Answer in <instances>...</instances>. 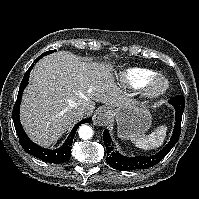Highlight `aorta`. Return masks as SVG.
<instances>
[{
    "instance_id": "obj_1",
    "label": "aorta",
    "mask_w": 199,
    "mask_h": 199,
    "mask_svg": "<svg viewBox=\"0 0 199 199\" xmlns=\"http://www.w3.org/2000/svg\"><path fill=\"white\" fill-rule=\"evenodd\" d=\"M79 137L83 140L90 139L93 135V130L90 126L88 125H82L80 126L79 130Z\"/></svg>"
}]
</instances>
